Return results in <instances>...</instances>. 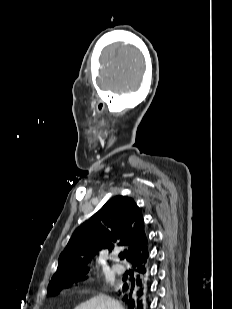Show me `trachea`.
<instances>
[{"label":"trachea","instance_id":"3493384b","mask_svg":"<svg viewBox=\"0 0 232 309\" xmlns=\"http://www.w3.org/2000/svg\"><path fill=\"white\" fill-rule=\"evenodd\" d=\"M119 256H120L121 258H123V253H120Z\"/></svg>","mask_w":232,"mask_h":309}]
</instances>
